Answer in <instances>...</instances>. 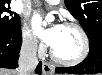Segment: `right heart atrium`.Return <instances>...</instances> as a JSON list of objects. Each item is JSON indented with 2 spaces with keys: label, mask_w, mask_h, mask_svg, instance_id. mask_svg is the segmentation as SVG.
<instances>
[{
  "label": "right heart atrium",
  "mask_w": 102,
  "mask_h": 75,
  "mask_svg": "<svg viewBox=\"0 0 102 75\" xmlns=\"http://www.w3.org/2000/svg\"><path fill=\"white\" fill-rule=\"evenodd\" d=\"M22 43L25 50L29 53L38 52L40 55L43 53V47L32 35L27 25H24L22 28Z\"/></svg>",
  "instance_id": "d8ad5b80"
}]
</instances>
